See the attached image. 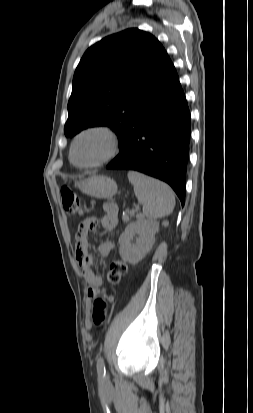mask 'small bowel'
Returning <instances> with one entry per match:
<instances>
[{"label":"small bowel","instance_id":"small-bowel-1","mask_svg":"<svg viewBox=\"0 0 253 413\" xmlns=\"http://www.w3.org/2000/svg\"><path fill=\"white\" fill-rule=\"evenodd\" d=\"M118 206L115 203L107 202L103 204V215L100 219L101 226L111 231L117 226ZM98 224V221L94 217L85 219L79 225L76 234V259L83 271V277L88 284V297L94 298L100 291L102 284L101 276L94 270L95 256L89 249V232L94 230ZM114 249V244L109 241H103L98 247V254L106 258ZM107 289L111 296L117 294L116 286L113 283L108 284ZM108 303L112 302L111 298L107 299Z\"/></svg>","mask_w":253,"mask_h":413}]
</instances>
